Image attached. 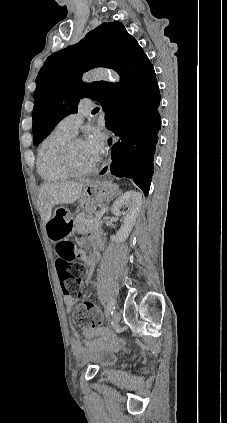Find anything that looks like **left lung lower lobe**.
<instances>
[{
    "mask_svg": "<svg viewBox=\"0 0 227 423\" xmlns=\"http://www.w3.org/2000/svg\"><path fill=\"white\" fill-rule=\"evenodd\" d=\"M129 102L127 108L105 111L106 128L124 141L113 145L110 169L117 177L133 179L147 196L161 128L160 93L154 71L133 91Z\"/></svg>",
    "mask_w": 227,
    "mask_h": 423,
    "instance_id": "0a47b994",
    "label": "left lung lower lobe"
}]
</instances>
